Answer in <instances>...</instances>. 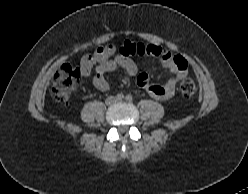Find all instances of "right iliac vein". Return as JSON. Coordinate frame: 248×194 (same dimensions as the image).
I'll return each mask as SVG.
<instances>
[{
  "instance_id": "obj_1",
  "label": "right iliac vein",
  "mask_w": 248,
  "mask_h": 194,
  "mask_svg": "<svg viewBox=\"0 0 248 194\" xmlns=\"http://www.w3.org/2000/svg\"><path fill=\"white\" fill-rule=\"evenodd\" d=\"M114 102H115V100L113 98H108L107 99V104H112Z\"/></svg>"
}]
</instances>
